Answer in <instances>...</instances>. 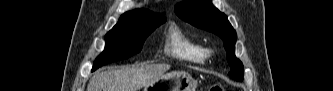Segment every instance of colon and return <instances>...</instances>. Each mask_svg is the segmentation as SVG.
<instances>
[{"mask_svg":"<svg viewBox=\"0 0 333 91\" xmlns=\"http://www.w3.org/2000/svg\"><path fill=\"white\" fill-rule=\"evenodd\" d=\"M208 90L209 91H225V88L221 83H214L209 87Z\"/></svg>","mask_w":333,"mask_h":91,"instance_id":"5ec220e1","label":"colon"}]
</instances>
